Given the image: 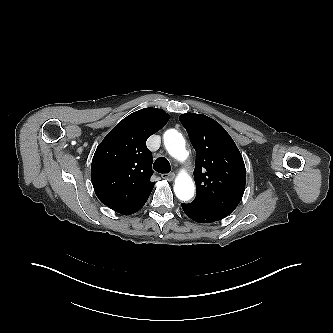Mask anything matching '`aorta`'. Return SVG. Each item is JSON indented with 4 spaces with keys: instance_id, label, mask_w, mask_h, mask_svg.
I'll return each instance as SVG.
<instances>
[{
    "instance_id": "1",
    "label": "aorta",
    "mask_w": 333,
    "mask_h": 333,
    "mask_svg": "<svg viewBox=\"0 0 333 333\" xmlns=\"http://www.w3.org/2000/svg\"><path fill=\"white\" fill-rule=\"evenodd\" d=\"M164 145L168 153L179 161H184L187 157L185 139L181 133L175 129L167 130L163 136ZM195 185L192 178L182 172L174 183V193L181 201H188L194 196Z\"/></svg>"
}]
</instances>
